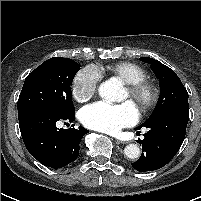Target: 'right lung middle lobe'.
<instances>
[{
  "label": "right lung middle lobe",
  "mask_w": 201,
  "mask_h": 201,
  "mask_svg": "<svg viewBox=\"0 0 201 201\" xmlns=\"http://www.w3.org/2000/svg\"><path fill=\"white\" fill-rule=\"evenodd\" d=\"M80 65L69 59L46 60L25 79L18 100V114L33 107H47L62 115L74 113L71 85Z\"/></svg>",
  "instance_id": "right-lung-middle-lobe-1"
}]
</instances>
